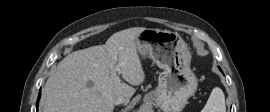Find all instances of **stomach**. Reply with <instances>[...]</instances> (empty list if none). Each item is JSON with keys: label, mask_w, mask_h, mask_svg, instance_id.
<instances>
[{"label": "stomach", "mask_w": 270, "mask_h": 112, "mask_svg": "<svg viewBox=\"0 0 270 112\" xmlns=\"http://www.w3.org/2000/svg\"><path fill=\"white\" fill-rule=\"evenodd\" d=\"M137 47L140 57L149 56L163 70L157 88L147 93L144 101L164 112H181L198 85L186 42L175 32L145 29L138 36Z\"/></svg>", "instance_id": "0dacf381"}]
</instances>
